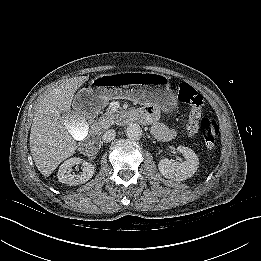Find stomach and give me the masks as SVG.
<instances>
[{
    "label": "stomach",
    "mask_w": 261,
    "mask_h": 261,
    "mask_svg": "<svg viewBox=\"0 0 261 261\" xmlns=\"http://www.w3.org/2000/svg\"><path fill=\"white\" fill-rule=\"evenodd\" d=\"M168 82V77L154 72H122L98 76L83 90L90 96L88 107L92 113L103 108L108 100L118 98L143 104L155 102L164 108L176 104Z\"/></svg>",
    "instance_id": "0dacf381"
}]
</instances>
